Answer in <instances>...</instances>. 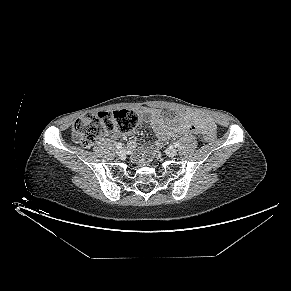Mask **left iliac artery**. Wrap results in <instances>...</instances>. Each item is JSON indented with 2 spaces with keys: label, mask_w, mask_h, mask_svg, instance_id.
<instances>
[{
  "label": "left iliac artery",
  "mask_w": 291,
  "mask_h": 291,
  "mask_svg": "<svg viewBox=\"0 0 291 291\" xmlns=\"http://www.w3.org/2000/svg\"><path fill=\"white\" fill-rule=\"evenodd\" d=\"M174 146H175L176 148H178V147L180 146V143H179V142H175V143H174Z\"/></svg>",
  "instance_id": "1"
}]
</instances>
